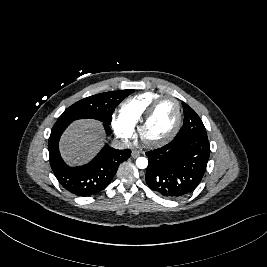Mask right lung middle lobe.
I'll use <instances>...</instances> for the list:
<instances>
[{"label":"right lung middle lobe","instance_id":"1","mask_svg":"<svg viewBox=\"0 0 267 267\" xmlns=\"http://www.w3.org/2000/svg\"><path fill=\"white\" fill-rule=\"evenodd\" d=\"M131 93H133V90L127 89L100 93L84 98L67 108L55 124H70L74 120L84 118H93L105 124H110L112 114L117 105Z\"/></svg>","mask_w":267,"mask_h":267}]
</instances>
